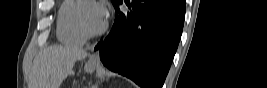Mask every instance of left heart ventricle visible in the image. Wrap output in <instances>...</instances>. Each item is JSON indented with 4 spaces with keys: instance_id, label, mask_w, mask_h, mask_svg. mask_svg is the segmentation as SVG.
<instances>
[{
    "instance_id": "b2bd125f",
    "label": "left heart ventricle",
    "mask_w": 267,
    "mask_h": 88,
    "mask_svg": "<svg viewBox=\"0 0 267 88\" xmlns=\"http://www.w3.org/2000/svg\"><path fill=\"white\" fill-rule=\"evenodd\" d=\"M82 17L85 25L91 30L99 29L104 22L98 19L96 15V5L90 2L82 5Z\"/></svg>"
}]
</instances>
